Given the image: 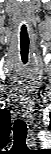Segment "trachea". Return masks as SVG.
<instances>
[{"label": "trachea", "mask_w": 51, "mask_h": 154, "mask_svg": "<svg viewBox=\"0 0 51 154\" xmlns=\"http://www.w3.org/2000/svg\"><path fill=\"white\" fill-rule=\"evenodd\" d=\"M26 133H27V125L25 121L22 119H17L13 127L14 140L19 141L22 135H26Z\"/></svg>", "instance_id": "1"}]
</instances>
